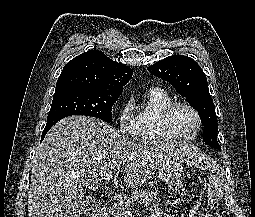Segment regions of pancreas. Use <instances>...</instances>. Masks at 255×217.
Masks as SVG:
<instances>
[{
  "label": "pancreas",
  "instance_id": "cf45deb5",
  "mask_svg": "<svg viewBox=\"0 0 255 217\" xmlns=\"http://www.w3.org/2000/svg\"><path fill=\"white\" fill-rule=\"evenodd\" d=\"M157 196V190H139L134 192L131 198L112 206L108 212L112 217H123L126 210H130L131 207L137 206V204L148 206L155 201Z\"/></svg>",
  "mask_w": 255,
  "mask_h": 217
}]
</instances>
